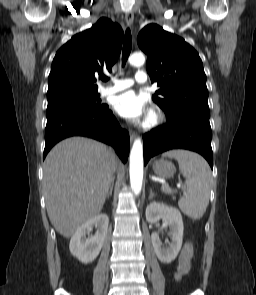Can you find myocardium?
<instances>
[{
    "label": "myocardium",
    "instance_id": "f54148a6",
    "mask_svg": "<svg viewBox=\"0 0 256 295\" xmlns=\"http://www.w3.org/2000/svg\"><path fill=\"white\" fill-rule=\"evenodd\" d=\"M163 120V115L158 110H152L145 123L146 128H153L159 125Z\"/></svg>",
    "mask_w": 256,
    "mask_h": 295
}]
</instances>
